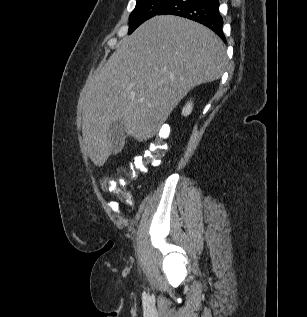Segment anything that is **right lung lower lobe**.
I'll use <instances>...</instances> for the list:
<instances>
[{"label":"right lung lower lobe","instance_id":"98d812e1","mask_svg":"<svg viewBox=\"0 0 307 317\" xmlns=\"http://www.w3.org/2000/svg\"><path fill=\"white\" fill-rule=\"evenodd\" d=\"M176 15L199 22L226 41L218 0H172L158 15Z\"/></svg>","mask_w":307,"mask_h":317}]
</instances>
